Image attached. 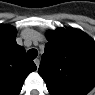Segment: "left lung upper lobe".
<instances>
[{
  "label": "left lung upper lobe",
  "mask_w": 95,
  "mask_h": 95,
  "mask_svg": "<svg viewBox=\"0 0 95 95\" xmlns=\"http://www.w3.org/2000/svg\"><path fill=\"white\" fill-rule=\"evenodd\" d=\"M39 74L52 95H80L95 84V42L78 29L47 34Z\"/></svg>",
  "instance_id": "1"
}]
</instances>
